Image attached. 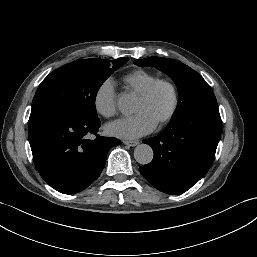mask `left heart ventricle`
<instances>
[{"label": "left heart ventricle", "mask_w": 257, "mask_h": 257, "mask_svg": "<svg viewBox=\"0 0 257 257\" xmlns=\"http://www.w3.org/2000/svg\"><path fill=\"white\" fill-rule=\"evenodd\" d=\"M172 104L170 90L162 86L148 100L137 98L134 113L147 114L156 124L159 123L169 112Z\"/></svg>", "instance_id": "b2bd125f"}]
</instances>
